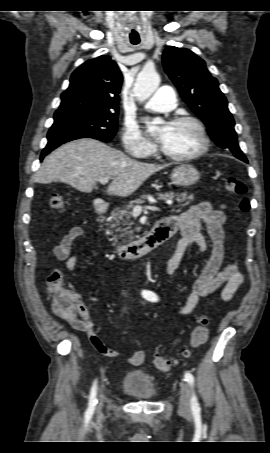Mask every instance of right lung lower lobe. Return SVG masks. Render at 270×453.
<instances>
[{"instance_id":"98d812e1","label":"right lung lower lobe","mask_w":270,"mask_h":453,"mask_svg":"<svg viewBox=\"0 0 270 453\" xmlns=\"http://www.w3.org/2000/svg\"><path fill=\"white\" fill-rule=\"evenodd\" d=\"M65 142L66 141L57 140V139L48 140L47 146L43 149V151L41 153L40 160L42 161L43 158L47 154H49L52 150H54L55 148H57L58 146H60L61 144L65 143Z\"/></svg>"}]
</instances>
